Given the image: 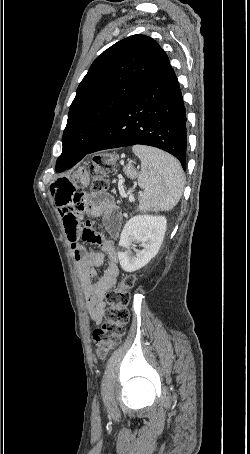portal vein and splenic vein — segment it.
Segmentation results:
<instances>
[{"instance_id": "18ae733b", "label": "portal vein and splenic vein", "mask_w": 250, "mask_h": 454, "mask_svg": "<svg viewBox=\"0 0 250 454\" xmlns=\"http://www.w3.org/2000/svg\"><path fill=\"white\" fill-rule=\"evenodd\" d=\"M122 196L125 197V198H128L130 202H134L135 201V198H134L133 195H129L128 196L127 194L123 193Z\"/></svg>"}]
</instances>
